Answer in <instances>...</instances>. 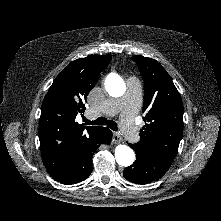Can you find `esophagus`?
<instances>
[{"instance_id":"1","label":"esophagus","mask_w":221,"mask_h":221,"mask_svg":"<svg viewBox=\"0 0 221 221\" xmlns=\"http://www.w3.org/2000/svg\"><path fill=\"white\" fill-rule=\"evenodd\" d=\"M122 137L118 132L113 133L112 143L113 144H119L122 142Z\"/></svg>"}]
</instances>
